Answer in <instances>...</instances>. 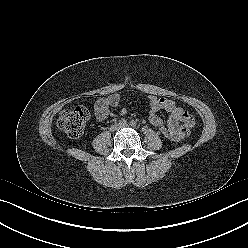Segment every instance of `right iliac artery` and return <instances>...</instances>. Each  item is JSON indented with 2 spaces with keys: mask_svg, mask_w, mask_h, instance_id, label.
<instances>
[{
  "mask_svg": "<svg viewBox=\"0 0 248 248\" xmlns=\"http://www.w3.org/2000/svg\"><path fill=\"white\" fill-rule=\"evenodd\" d=\"M127 121L124 119V118H121L120 120H119V124H125Z\"/></svg>",
  "mask_w": 248,
  "mask_h": 248,
  "instance_id": "obj_1",
  "label": "right iliac artery"
}]
</instances>
